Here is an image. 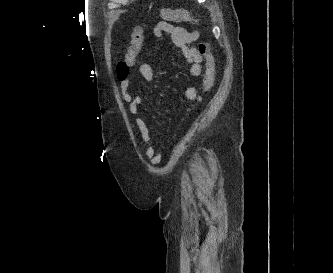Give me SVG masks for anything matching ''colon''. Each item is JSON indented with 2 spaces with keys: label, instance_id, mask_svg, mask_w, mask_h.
<instances>
[{
  "label": "colon",
  "instance_id": "colon-1",
  "mask_svg": "<svg viewBox=\"0 0 333 273\" xmlns=\"http://www.w3.org/2000/svg\"><path fill=\"white\" fill-rule=\"evenodd\" d=\"M159 16L167 21H196L192 13L185 9L162 8L159 11ZM145 27L146 23H139L132 30L126 55L117 65V74L121 81L128 77L130 69L138 59L143 44ZM197 51L205 60V68L202 74V91L209 92L215 83L216 62L208 42L200 43Z\"/></svg>",
  "mask_w": 333,
  "mask_h": 273
}]
</instances>
